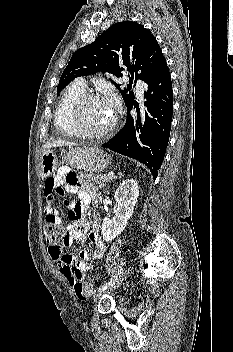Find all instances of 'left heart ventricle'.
Returning a JSON list of instances; mask_svg holds the SVG:
<instances>
[{
    "instance_id": "1",
    "label": "left heart ventricle",
    "mask_w": 233,
    "mask_h": 352,
    "mask_svg": "<svg viewBox=\"0 0 233 352\" xmlns=\"http://www.w3.org/2000/svg\"><path fill=\"white\" fill-rule=\"evenodd\" d=\"M114 114L105 100H93L83 107L81 123L88 131H101L112 123Z\"/></svg>"
}]
</instances>
